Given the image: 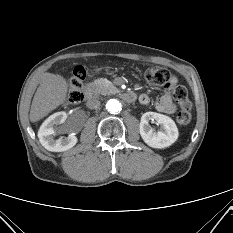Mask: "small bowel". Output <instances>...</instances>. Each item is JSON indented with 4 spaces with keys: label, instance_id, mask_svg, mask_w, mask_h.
<instances>
[{
    "label": "small bowel",
    "instance_id": "1",
    "mask_svg": "<svg viewBox=\"0 0 233 233\" xmlns=\"http://www.w3.org/2000/svg\"><path fill=\"white\" fill-rule=\"evenodd\" d=\"M170 81L173 84H177L178 78L176 76H171ZM140 101L143 104L148 103V101H149L148 96L146 94H142L140 96ZM156 109L158 111L166 113V114H172L176 111V104L173 101L172 97L167 92H165L156 101Z\"/></svg>",
    "mask_w": 233,
    "mask_h": 233
}]
</instances>
